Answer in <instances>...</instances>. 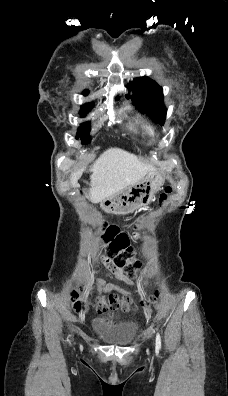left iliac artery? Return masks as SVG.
Instances as JSON below:
<instances>
[{"instance_id":"1","label":"left iliac artery","mask_w":228,"mask_h":396,"mask_svg":"<svg viewBox=\"0 0 228 396\" xmlns=\"http://www.w3.org/2000/svg\"><path fill=\"white\" fill-rule=\"evenodd\" d=\"M161 349V337L159 335V333H157L156 335V350H160Z\"/></svg>"}]
</instances>
